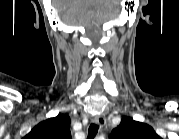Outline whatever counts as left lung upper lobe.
<instances>
[{"instance_id": "1", "label": "left lung upper lobe", "mask_w": 179, "mask_h": 139, "mask_svg": "<svg viewBox=\"0 0 179 139\" xmlns=\"http://www.w3.org/2000/svg\"><path fill=\"white\" fill-rule=\"evenodd\" d=\"M153 128L145 123L123 117L120 125L111 132V139H157Z\"/></svg>"}]
</instances>
